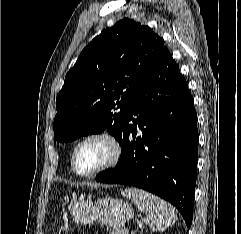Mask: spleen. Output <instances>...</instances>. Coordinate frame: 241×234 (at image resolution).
<instances>
[{"mask_svg":"<svg viewBox=\"0 0 241 234\" xmlns=\"http://www.w3.org/2000/svg\"><path fill=\"white\" fill-rule=\"evenodd\" d=\"M122 195L133 201L138 209L146 214L149 227L153 231H163L177 221L173 207L152 193L130 187L122 191Z\"/></svg>","mask_w":241,"mask_h":234,"instance_id":"obj_1","label":"spleen"}]
</instances>
